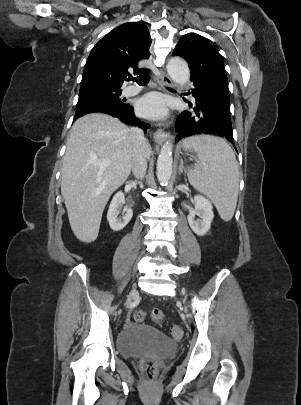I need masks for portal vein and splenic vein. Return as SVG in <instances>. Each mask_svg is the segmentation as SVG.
Returning <instances> with one entry per match:
<instances>
[{"label": "portal vein and splenic vein", "instance_id": "1", "mask_svg": "<svg viewBox=\"0 0 301 405\" xmlns=\"http://www.w3.org/2000/svg\"><path fill=\"white\" fill-rule=\"evenodd\" d=\"M109 164H110V161L106 160V161L101 162L99 165L100 166H108Z\"/></svg>", "mask_w": 301, "mask_h": 405}]
</instances>
